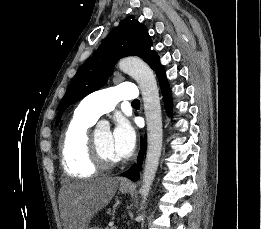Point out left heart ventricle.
I'll use <instances>...</instances> for the list:
<instances>
[{"instance_id":"1","label":"left heart ventricle","mask_w":261,"mask_h":229,"mask_svg":"<svg viewBox=\"0 0 261 229\" xmlns=\"http://www.w3.org/2000/svg\"><path fill=\"white\" fill-rule=\"evenodd\" d=\"M112 135L110 132H102L97 136L98 143L104 153V155L111 160H118L112 150L111 143Z\"/></svg>"}]
</instances>
